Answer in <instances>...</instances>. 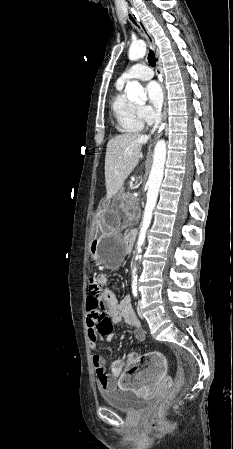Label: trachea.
<instances>
[{
  "label": "trachea",
  "mask_w": 233,
  "mask_h": 449,
  "mask_svg": "<svg viewBox=\"0 0 233 449\" xmlns=\"http://www.w3.org/2000/svg\"><path fill=\"white\" fill-rule=\"evenodd\" d=\"M129 17H130L131 21L133 23H135V20L132 18V16L129 15ZM148 62L152 67H154L156 65V58H155V54L153 51H150V53L148 55Z\"/></svg>",
  "instance_id": "obj_1"
}]
</instances>
